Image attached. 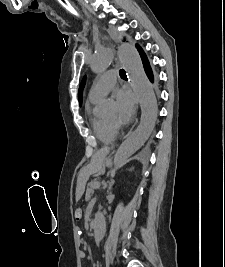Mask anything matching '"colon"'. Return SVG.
<instances>
[{
	"instance_id": "obj_1",
	"label": "colon",
	"mask_w": 225,
	"mask_h": 267,
	"mask_svg": "<svg viewBox=\"0 0 225 267\" xmlns=\"http://www.w3.org/2000/svg\"><path fill=\"white\" fill-rule=\"evenodd\" d=\"M67 7H70V5H66ZM82 208L81 207H76L75 210H74V215H75V218L76 219H80L82 217Z\"/></svg>"
}]
</instances>
